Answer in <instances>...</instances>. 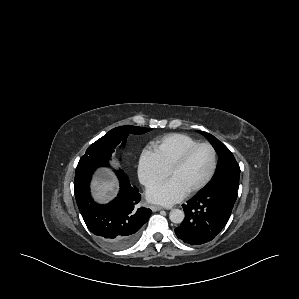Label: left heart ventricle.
Listing matches in <instances>:
<instances>
[{
    "label": "left heart ventricle",
    "mask_w": 299,
    "mask_h": 299,
    "mask_svg": "<svg viewBox=\"0 0 299 299\" xmlns=\"http://www.w3.org/2000/svg\"><path fill=\"white\" fill-rule=\"evenodd\" d=\"M211 166V150L206 146H202L191 154L184 166L174 172L171 179L188 191L208 175Z\"/></svg>",
    "instance_id": "obj_1"
}]
</instances>
